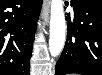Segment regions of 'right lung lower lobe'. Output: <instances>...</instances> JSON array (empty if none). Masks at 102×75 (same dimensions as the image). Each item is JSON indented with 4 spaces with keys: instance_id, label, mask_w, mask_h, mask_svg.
Returning a JSON list of instances; mask_svg holds the SVG:
<instances>
[{
    "instance_id": "right-lung-lower-lobe-1",
    "label": "right lung lower lobe",
    "mask_w": 102,
    "mask_h": 75,
    "mask_svg": "<svg viewBox=\"0 0 102 75\" xmlns=\"http://www.w3.org/2000/svg\"><path fill=\"white\" fill-rule=\"evenodd\" d=\"M42 0H0V75H29Z\"/></svg>"
}]
</instances>
